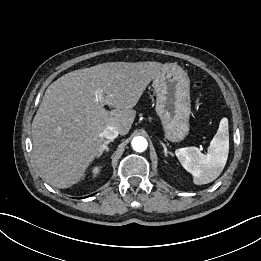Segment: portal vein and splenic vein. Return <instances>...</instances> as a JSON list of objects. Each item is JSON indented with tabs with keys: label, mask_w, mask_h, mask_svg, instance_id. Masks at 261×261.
I'll use <instances>...</instances> for the list:
<instances>
[{
	"label": "portal vein and splenic vein",
	"mask_w": 261,
	"mask_h": 261,
	"mask_svg": "<svg viewBox=\"0 0 261 261\" xmlns=\"http://www.w3.org/2000/svg\"><path fill=\"white\" fill-rule=\"evenodd\" d=\"M96 97H97L98 102H99L101 105H104V94H103V91H102V90H97V91H96Z\"/></svg>",
	"instance_id": "1"
}]
</instances>
